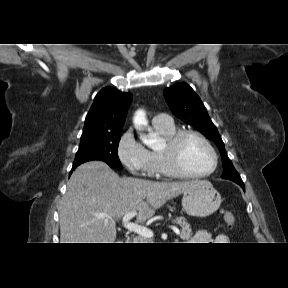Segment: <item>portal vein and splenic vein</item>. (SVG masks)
Here are the masks:
<instances>
[{
	"label": "portal vein and splenic vein",
	"mask_w": 288,
	"mask_h": 288,
	"mask_svg": "<svg viewBox=\"0 0 288 288\" xmlns=\"http://www.w3.org/2000/svg\"><path fill=\"white\" fill-rule=\"evenodd\" d=\"M137 215V212L136 211H131L127 214H125L123 216V219H122V223L124 225V227L128 230V231H131V232H134V233H137L138 235L142 236V237H146V238H151L153 237V232L147 228V227H144L142 225H139V224H136V223H133L131 222L130 220L135 217ZM171 229L177 234L179 235L180 234V231L175 228V227H171Z\"/></svg>",
	"instance_id": "portal-vein-and-splenic-vein-1"
}]
</instances>
